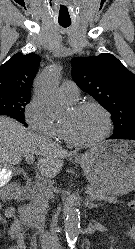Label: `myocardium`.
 Segmentation results:
<instances>
[{
    "label": "myocardium",
    "mask_w": 135,
    "mask_h": 249,
    "mask_svg": "<svg viewBox=\"0 0 135 249\" xmlns=\"http://www.w3.org/2000/svg\"><path fill=\"white\" fill-rule=\"evenodd\" d=\"M86 108H96L98 109L104 116L105 122H106V128L103 134L93 140L90 141H81L76 139L70 132L69 128L63 124L65 134H66V139L73 145L78 146V147H92L95 146L102 141H104L110 134L111 129H112V118L110 112L100 103L95 102V101H83L75 104L73 106V110L75 112H80Z\"/></svg>",
    "instance_id": "obj_1"
}]
</instances>
